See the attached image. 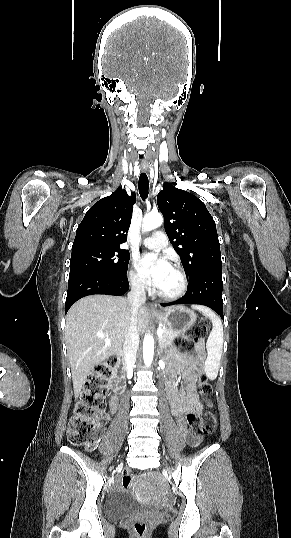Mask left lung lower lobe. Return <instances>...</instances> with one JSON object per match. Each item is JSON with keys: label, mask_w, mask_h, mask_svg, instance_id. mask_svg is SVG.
Instances as JSON below:
<instances>
[{"label": "left lung lower lobe", "mask_w": 291, "mask_h": 538, "mask_svg": "<svg viewBox=\"0 0 291 538\" xmlns=\"http://www.w3.org/2000/svg\"><path fill=\"white\" fill-rule=\"evenodd\" d=\"M222 268L211 267L203 270L190 279L187 293L179 300L169 303H162V306L176 304H199L210 307L223 316V299H222Z\"/></svg>", "instance_id": "1"}]
</instances>
